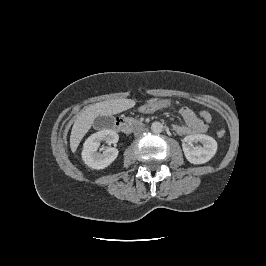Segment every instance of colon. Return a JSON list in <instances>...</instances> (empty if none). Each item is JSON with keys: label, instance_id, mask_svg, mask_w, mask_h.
I'll use <instances>...</instances> for the list:
<instances>
[{"label": "colon", "instance_id": "colon-1", "mask_svg": "<svg viewBox=\"0 0 266 266\" xmlns=\"http://www.w3.org/2000/svg\"><path fill=\"white\" fill-rule=\"evenodd\" d=\"M199 117L201 118L202 121L204 122H211L212 121V115L210 112L203 110L199 113ZM225 135V130L221 129L217 131V136L218 137H223Z\"/></svg>", "mask_w": 266, "mask_h": 266}]
</instances>
